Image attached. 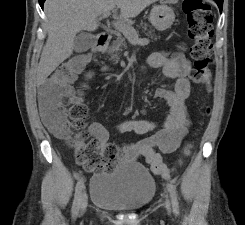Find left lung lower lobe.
Listing matches in <instances>:
<instances>
[{"label":"left lung lower lobe","mask_w":245,"mask_h":225,"mask_svg":"<svg viewBox=\"0 0 245 225\" xmlns=\"http://www.w3.org/2000/svg\"><path fill=\"white\" fill-rule=\"evenodd\" d=\"M216 3L218 4L220 11H222L223 1H216Z\"/></svg>","instance_id":"obj_1"}]
</instances>
